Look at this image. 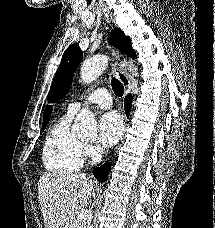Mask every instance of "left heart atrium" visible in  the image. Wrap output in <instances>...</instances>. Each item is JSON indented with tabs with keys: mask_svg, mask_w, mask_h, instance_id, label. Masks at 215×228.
<instances>
[{
	"mask_svg": "<svg viewBox=\"0 0 215 228\" xmlns=\"http://www.w3.org/2000/svg\"><path fill=\"white\" fill-rule=\"evenodd\" d=\"M124 129L121 116L115 111L106 112L98 125L99 142L104 147L115 145L122 136Z\"/></svg>",
	"mask_w": 215,
	"mask_h": 228,
	"instance_id": "obj_1",
	"label": "left heart atrium"
}]
</instances>
